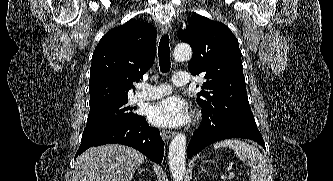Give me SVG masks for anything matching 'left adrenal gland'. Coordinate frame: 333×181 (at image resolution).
<instances>
[{"label": "left adrenal gland", "mask_w": 333, "mask_h": 181, "mask_svg": "<svg viewBox=\"0 0 333 181\" xmlns=\"http://www.w3.org/2000/svg\"><path fill=\"white\" fill-rule=\"evenodd\" d=\"M201 172H206L208 174V171L205 170L203 167H201V170L198 171V174H200Z\"/></svg>", "instance_id": "1"}]
</instances>
